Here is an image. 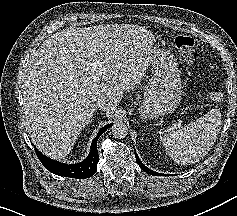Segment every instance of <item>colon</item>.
<instances>
[{
	"mask_svg": "<svg viewBox=\"0 0 237 216\" xmlns=\"http://www.w3.org/2000/svg\"><path fill=\"white\" fill-rule=\"evenodd\" d=\"M174 44L179 53L185 58L190 59L193 55L195 48V40L189 36H177L174 40ZM213 98L216 101H221L223 99V92L216 91L213 93Z\"/></svg>",
	"mask_w": 237,
	"mask_h": 216,
	"instance_id": "1",
	"label": "colon"
}]
</instances>
